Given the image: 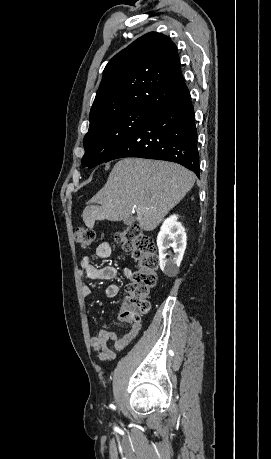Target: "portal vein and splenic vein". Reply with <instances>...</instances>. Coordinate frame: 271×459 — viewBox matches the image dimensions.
Segmentation results:
<instances>
[{"mask_svg": "<svg viewBox=\"0 0 271 459\" xmlns=\"http://www.w3.org/2000/svg\"><path fill=\"white\" fill-rule=\"evenodd\" d=\"M135 210H133L132 214H134Z\"/></svg>", "mask_w": 271, "mask_h": 459, "instance_id": "obj_1", "label": "portal vein and splenic vein"}]
</instances>
